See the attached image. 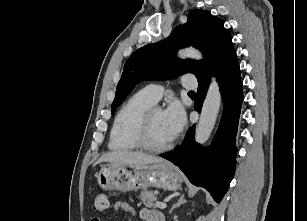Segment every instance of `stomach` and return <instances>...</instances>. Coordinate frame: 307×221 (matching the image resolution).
Listing matches in <instances>:
<instances>
[{"label": "stomach", "mask_w": 307, "mask_h": 221, "mask_svg": "<svg viewBox=\"0 0 307 221\" xmlns=\"http://www.w3.org/2000/svg\"><path fill=\"white\" fill-rule=\"evenodd\" d=\"M98 184L105 190L134 191L149 186L177 190L182 178L175 167L162 161L146 165L108 163L96 174Z\"/></svg>", "instance_id": "obj_1"}]
</instances>
